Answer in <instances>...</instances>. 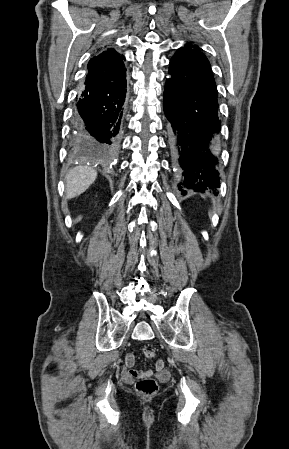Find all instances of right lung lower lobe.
Listing matches in <instances>:
<instances>
[{
	"label": "right lung lower lobe",
	"instance_id": "98d812e1",
	"mask_svg": "<svg viewBox=\"0 0 289 449\" xmlns=\"http://www.w3.org/2000/svg\"><path fill=\"white\" fill-rule=\"evenodd\" d=\"M125 95L123 64L105 71H88L77 103L74 129L100 152H111L118 144Z\"/></svg>",
	"mask_w": 289,
	"mask_h": 449
}]
</instances>
